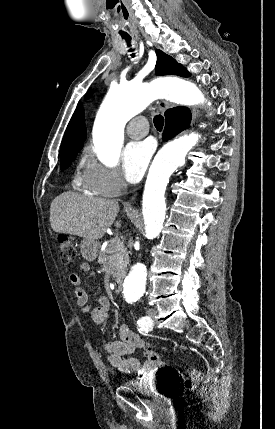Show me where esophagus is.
Here are the masks:
<instances>
[{
    "instance_id": "1",
    "label": "esophagus",
    "mask_w": 275,
    "mask_h": 429,
    "mask_svg": "<svg viewBox=\"0 0 275 429\" xmlns=\"http://www.w3.org/2000/svg\"><path fill=\"white\" fill-rule=\"evenodd\" d=\"M158 105H159L160 111L162 112H165L170 107V104L164 100L158 101Z\"/></svg>"
}]
</instances>
